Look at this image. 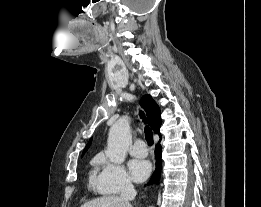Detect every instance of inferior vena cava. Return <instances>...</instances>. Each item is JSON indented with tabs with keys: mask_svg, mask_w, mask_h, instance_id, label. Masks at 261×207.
Returning <instances> with one entry per match:
<instances>
[{
	"mask_svg": "<svg viewBox=\"0 0 261 207\" xmlns=\"http://www.w3.org/2000/svg\"><path fill=\"white\" fill-rule=\"evenodd\" d=\"M136 196V190L130 181H125L121 190L120 198L124 201H132Z\"/></svg>",
	"mask_w": 261,
	"mask_h": 207,
	"instance_id": "obj_1",
	"label": "inferior vena cava"
}]
</instances>
